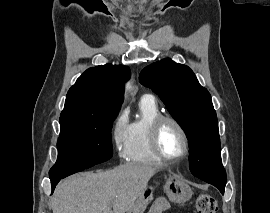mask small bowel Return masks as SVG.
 I'll return each instance as SVG.
<instances>
[{
  "label": "small bowel",
  "instance_id": "c3829d8e",
  "mask_svg": "<svg viewBox=\"0 0 270 213\" xmlns=\"http://www.w3.org/2000/svg\"><path fill=\"white\" fill-rule=\"evenodd\" d=\"M167 207H168L167 202H165L164 200L158 199L153 203L149 213H164Z\"/></svg>",
  "mask_w": 270,
  "mask_h": 213
}]
</instances>
